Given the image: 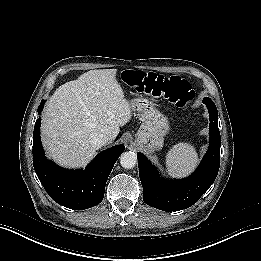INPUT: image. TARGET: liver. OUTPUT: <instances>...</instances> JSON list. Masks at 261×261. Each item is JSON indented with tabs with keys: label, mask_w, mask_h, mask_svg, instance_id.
<instances>
[{
	"label": "liver",
	"mask_w": 261,
	"mask_h": 261,
	"mask_svg": "<svg viewBox=\"0 0 261 261\" xmlns=\"http://www.w3.org/2000/svg\"><path fill=\"white\" fill-rule=\"evenodd\" d=\"M116 69L90 70L61 85L42 115L41 134L48 157L66 167L85 166L96 154L99 133L112 143L131 119V104L115 76Z\"/></svg>",
	"instance_id": "1"
}]
</instances>
